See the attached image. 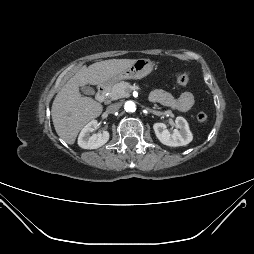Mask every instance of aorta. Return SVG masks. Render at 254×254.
Wrapping results in <instances>:
<instances>
[{"instance_id": "1", "label": "aorta", "mask_w": 254, "mask_h": 254, "mask_svg": "<svg viewBox=\"0 0 254 254\" xmlns=\"http://www.w3.org/2000/svg\"><path fill=\"white\" fill-rule=\"evenodd\" d=\"M124 109H125L127 112H133V111H135V109H136L135 103L132 102V101H127V102L124 104Z\"/></svg>"}]
</instances>
